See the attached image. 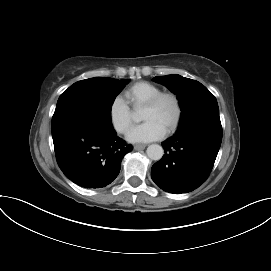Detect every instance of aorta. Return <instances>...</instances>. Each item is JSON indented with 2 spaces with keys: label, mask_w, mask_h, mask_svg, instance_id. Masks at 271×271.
Instances as JSON below:
<instances>
[{
  "label": "aorta",
  "mask_w": 271,
  "mask_h": 271,
  "mask_svg": "<svg viewBox=\"0 0 271 271\" xmlns=\"http://www.w3.org/2000/svg\"><path fill=\"white\" fill-rule=\"evenodd\" d=\"M135 119H137V118H135ZM146 153H147V156L151 160L158 161L163 157L164 150L158 144H151V145L148 146V148L146 150Z\"/></svg>",
  "instance_id": "762f6f07"
}]
</instances>
